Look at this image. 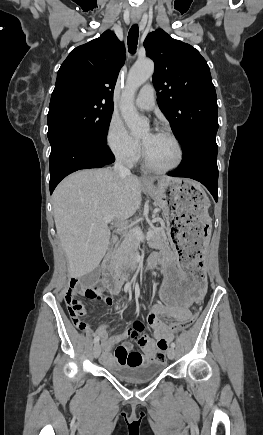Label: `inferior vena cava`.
I'll return each mask as SVG.
<instances>
[{
    "mask_svg": "<svg viewBox=\"0 0 263 435\" xmlns=\"http://www.w3.org/2000/svg\"><path fill=\"white\" fill-rule=\"evenodd\" d=\"M114 174L118 178H123L131 175V172L127 167L124 166L121 160H117L114 164Z\"/></svg>",
    "mask_w": 263,
    "mask_h": 435,
    "instance_id": "inferior-vena-cava-1",
    "label": "inferior vena cava"
}]
</instances>
